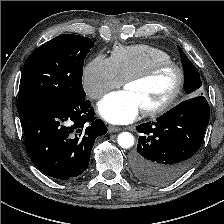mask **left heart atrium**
Returning a JSON list of instances; mask_svg holds the SVG:
<instances>
[{"label": "left heart atrium", "mask_w": 224, "mask_h": 224, "mask_svg": "<svg viewBox=\"0 0 224 224\" xmlns=\"http://www.w3.org/2000/svg\"><path fill=\"white\" fill-rule=\"evenodd\" d=\"M97 109L100 116L112 124L132 122L142 110L138 99L128 90L106 95Z\"/></svg>", "instance_id": "39dd6f15"}]
</instances>
